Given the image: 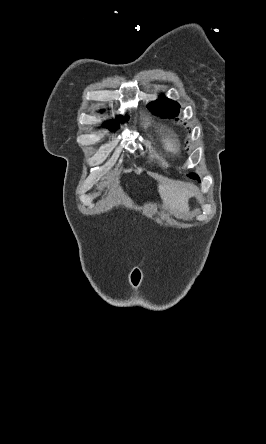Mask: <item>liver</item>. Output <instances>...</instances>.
Instances as JSON below:
<instances>
[{
    "label": "liver",
    "mask_w": 266,
    "mask_h": 444,
    "mask_svg": "<svg viewBox=\"0 0 266 444\" xmlns=\"http://www.w3.org/2000/svg\"><path fill=\"white\" fill-rule=\"evenodd\" d=\"M164 205L174 212H186L192 195L182 182L167 180L158 186Z\"/></svg>",
    "instance_id": "6515ba94"
}]
</instances>
